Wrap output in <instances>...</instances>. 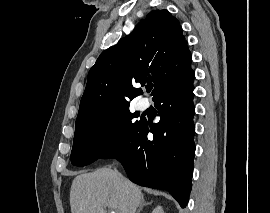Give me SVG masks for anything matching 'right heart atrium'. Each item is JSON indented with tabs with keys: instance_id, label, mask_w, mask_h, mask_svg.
<instances>
[{
	"instance_id": "obj_1",
	"label": "right heart atrium",
	"mask_w": 270,
	"mask_h": 213,
	"mask_svg": "<svg viewBox=\"0 0 270 213\" xmlns=\"http://www.w3.org/2000/svg\"><path fill=\"white\" fill-rule=\"evenodd\" d=\"M108 134H109L110 137H115L116 134H117V129L116 128L110 129Z\"/></svg>"
}]
</instances>
